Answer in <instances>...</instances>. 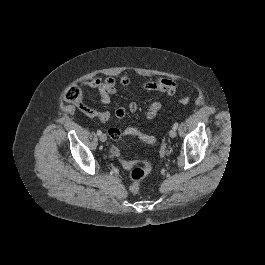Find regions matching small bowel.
<instances>
[{
	"label": "small bowel",
	"mask_w": 265,
	"mask_h": 265,
	"mask_svg": "<svg viewBox=\"0 0 265 265\" xmlns=\"http://www.w3.org/2000/svg\"><path fill=\"white\" fill-rule=\"evenodd\" d=\"M118 84L122 86H129L131 84V78L127 74L120 75L118 80L110 76L93 77L84 83L86 87L97 90L99 94L98 100L101 104H104V105L109 104L111 96L117 93ZM142 86L145 89L150 90V91H160L168 95H172L175 93L178 84L173 80L162 78L156 81L144 82ZM161 107H162L161 103L153 102L147 110V113H146L147 117L149 119L155 118L157 113L160 111ZM81 109L85 114H87L90 117L98 118L102 123L108 122L111 118L110 111H95V110H91L84 106L81 107ZM129 110L132 113H136L137 111L136 103H130ZM115 115L118 118L125 117L126 109L122 106L118 107L115 110ZM111 129L119 130L117 128H110L109 131Z\"/></svg>",
	"instance_id": "1"
}]
</instances>
